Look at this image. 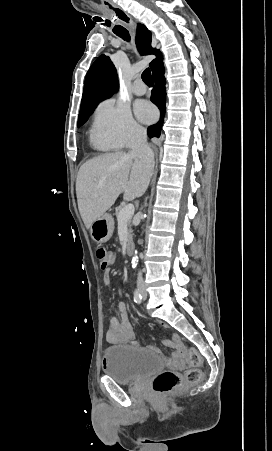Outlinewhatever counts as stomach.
Here are the masks:
<instances>
[{
	"label": "stomach",
	"instance_id": "0dacf381",
	"mask_svg": "<svg viewBox=\"0 0 272 451\" xmlns=\"http://www.w3.org/2000/svg\"><path fill=\"white\" fill-rule=\"evenodd\" d=\"M114 231V220L111 214H103L90 226V235L97 243H105Z\"/></svg>",
	"mask_w": 272,
	"mask_h": 451
}]
</instances>
